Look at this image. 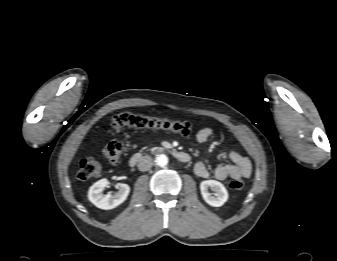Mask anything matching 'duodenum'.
Masks as SVG:
<instances>
[{"mask_svg":"<svg viewBox=\"0 0 337 261\" xmlns=\"http://www.w3.org/2000/svg\"><path fill=\"white\" fill-rule=\"evenodd\" d=\"M174 157L179 160L180 162L187 163L190 161V156L182 151H173ZM143 156L139 153L134 154L131 156L129 160V164L131 167H135L141 160Z\"/></svg>","mask_w":337,"mask_h":261,"instance_id":"1","label":"duodenum"}]
</instances>
